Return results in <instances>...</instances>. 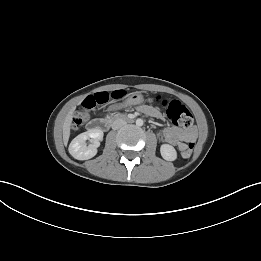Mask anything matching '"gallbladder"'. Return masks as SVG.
Segmentation results:
<instances>
[{"label":"gallbladder","mask_w":261,"mask_h":261,"mask_svg":"<svg viewBox=\"0 0 261 261\" xmlns=\"http://www.w3.org/2000/svg\"><path fill=\"white\" fill-rule=\"evenodd\" d=\"M83 116H84V117H87V114H86V113H83Z\"/></svg>","instance_id":"gallbladder-1"}]
</instances>
